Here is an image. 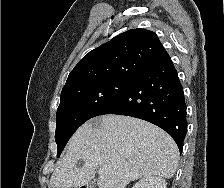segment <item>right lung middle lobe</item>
I'll return each instance as SVG.
<instances>
[{"mask_svg": "<svg viewBox=\"0 0 224 188\" xmlns=\"http://www.w3.org/2000/svg\"><path fill=\"white\" fill-rule=\"evenodd\" d=\"M132 79H106L65 88L56 114L55 141L60 156L73 133L87 120L100 115L131 86Z\"/></svg>", "mask_w": 224, "mask_h": 188, "instance_id": "dd1d6c3e", "label": "right lung middle lobe"}]
</instances>
